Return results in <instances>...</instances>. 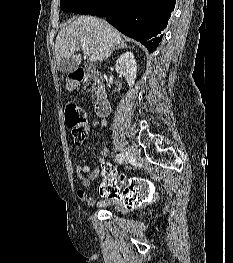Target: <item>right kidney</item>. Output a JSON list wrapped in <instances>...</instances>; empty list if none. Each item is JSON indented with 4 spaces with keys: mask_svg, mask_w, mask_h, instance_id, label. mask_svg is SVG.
Returning a JSON list of instances; mask_svg holds the SVG:
<instances>
[{
    "mask_svg": "<svg viewBox=\"0 0 233 263\" xmlns=\"http://www.w3.org/2000/svg\"><path fill=\"white\" fill-rule=\"evenodd\" d=\"M115 70L126 78L130 88L134 86L137 75V63L132 52H126L117 59Z\"/></svg>",
    "mask_w": 233,
    "mask_h": 263,
    "instance_id": "right-kidney-1",
    "label": "right kidney"
}]
</instances>
